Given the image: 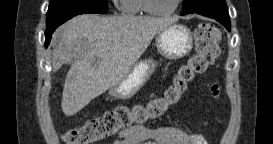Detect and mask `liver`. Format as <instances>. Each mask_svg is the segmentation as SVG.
Listing matches in <instances>:
<instances>
[{
	"label": "liver",
	"instance_id": "1",
	"mask_svg": "<svg viewBox=\"0 0 273 144\" xmlns=\"http://www.w3.org/2000/svg\"><path fill=\"white\" fill-rule=\"evenodd\" d=\"M176 21L168 17L79 15L56 32L53 72L72 61L61 107L72 116L117 85L131 70L156 34Z\"/></svg>",
	"mask_w": 273,
	"mask_h": 144
}]
</instances>
